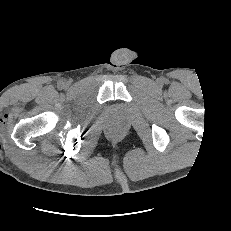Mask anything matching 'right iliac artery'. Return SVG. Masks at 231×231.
<instances>
[{
	"instance_id": "obj_1",
	"label": "right iliac artery",
	"mask_w": 231,
	"mask_h": 231,
	"mask_svg": "<svg viewBox=\"0 0 231 231\" xmlns=\"http://www.w3.org/2000/svg\"><path fill=\"white\" fill-rule=\"evenodd\" d=\"M62 85H63V83H60V84H59V86H62Z\"/></svg>"
}]
</instances>
